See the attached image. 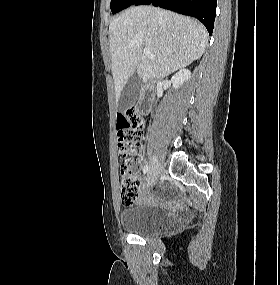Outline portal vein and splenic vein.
Segmentation results:
<instances>
[{"label":"portal vein and splenic vein","mask_w":280,"mask_h":285,"mask_svg":"<svg viewBox=\"0 0 280 285\" xmlns=\"http://www.w3.org/2000/svg\"><path fill=\"white\" fill-rule=\"evenodd\" d=\"M143 53H144V55L148 58V59H150V60H153L154 59V54L153 53H151V51H150V49L149 48H144L143 49Z\"/></svg>","instance_id":"18ae733b"}]
</instances>
